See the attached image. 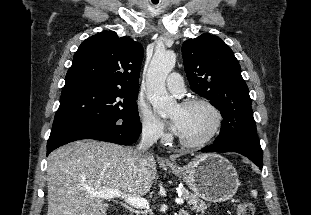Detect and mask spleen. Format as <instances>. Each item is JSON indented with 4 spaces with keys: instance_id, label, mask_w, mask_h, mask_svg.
Returning a JSON list of instances; mask_svg holds the SVG:
<instances>
[{
    "instance_id": "obj_1",
    "label": "spleen",
    "mask_w": 311,
    "mask_h": 215,
    "mask_svg": "<svg viewBox=\"0 0 311 215\" xmlns=\"http://www.w3.org/2000/svg\"><path fill=\"white\" fill-rule=\"evenodd\" d=\"M252 196H254L255 198L257 197V191L256 190H252L251 191Z\"/></svg>"
}]
</instances>
